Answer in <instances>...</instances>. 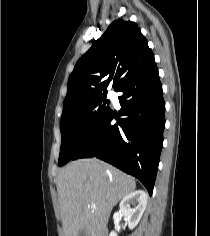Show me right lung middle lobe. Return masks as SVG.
<instances>
[{"mask_svg": "<svg viewBox=\"0 0 210 236\" xmlns=\"http://www.w3.org/2000/svg\"><path fill=\"white\" fill-rule=\"evenodd\" d=\"M106 94L84 101L77 108L62 114L61 148L58 165L70 161L94 130L110 112Z\"/></svg>", "mask_w": 210, "mask_h": 236, "instance_id": "dd1d6c3e", "label": "right lung middle lobe"}]
</instances>
